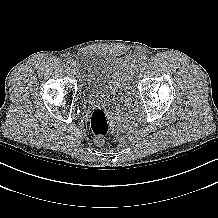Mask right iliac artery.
Masks as SVG:
<instances>
[{"label":"right iliac artery","instance_id":"obj_1","mask_svg":"<svg viewBox=\"0 0 218 218\" xmlns=\"http://www.w3.org/2000/svg\"><path fill=\"white\" fill-rule=\"evenodd\" d=\"M73 62H74L73 59L70 57L66 59V63L69 65H71Z\"/></svg>","mask_w":218,"mask_h":218}]
</instances>
